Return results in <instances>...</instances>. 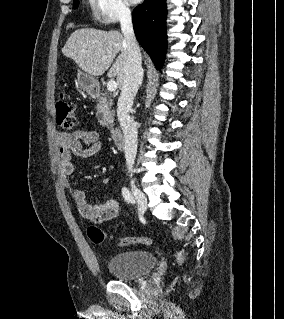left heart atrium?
Returning a JSON list of instances; mask_svg holds the SVG:
<instances>
[{"label":"left heart atrium","mask_w":284,"mask_h":319,"mask_svg":"<svg viewBox=\"0 0 284 319\" xmlns=\"http://www.w3.org/2000/svg\"><path fill=\"white\" fill-rule=\"evenodd\" d=\"M142 0H128L129 3L131 4H137L139 2H141Z\"/></svg>","instance_id":"left-heart-atrium-1"}]
</instances>
